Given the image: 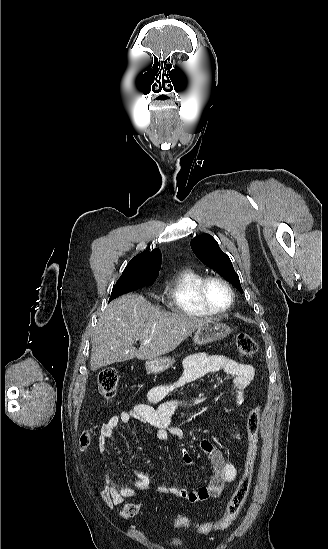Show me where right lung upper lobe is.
<instances>
[{"instance_id":"cb5924a9","label":"right lung upper lobe","mask_w":328,"mask_h":549,"mask_svg":"<svg viewBox=\"0 0 328 549\" xmlns=\"http://www.w3.org/2000/svg\"><path fill=\"white\" fill-rule=\"evenodd\" d=\"M161 265V252L159 249H154L153 251H144L141 254L136 255L126 266L125 271H131L143 266Z\"/></svg>"}]
</instances>
